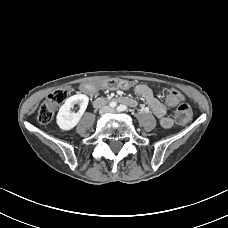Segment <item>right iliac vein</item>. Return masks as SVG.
Here are the masks:
<instances>
[{
	"mask_svg": "<svg viewBox=\"0 0 228 228\" xmlns=\"http://www.w3.org/2000/svg\"><path fill=\"white\" fill-rule=\"evenodd\" d=\"M106 112H108V108H102V109L100 110V114H101V115L105 114Z\"/></svg>",
	"mask_w": 228,
	"mask_h": 228,
	"instance_id": "63e3f726",
	"label": "right iliac vein"
}]
</instances>
